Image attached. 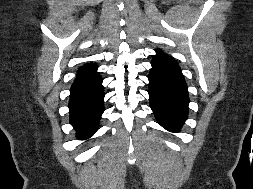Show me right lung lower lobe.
<instances>
[{"mask_svg": "<svg viewBox=\"0 0 253 189\" xmlns=\"http://www.w3.org/2000/svg\"><path fill=\"white\" fill-rule=\"evenodd\" d=\"M70 91V123L78 139H87L97 131L104 111L102 78L100 75L77 78Z\"/></svg>", "mask_w": 253, "mask_h": 189, "instance_id": "1", "label": "right lung lower lobe"}]
</instances>
